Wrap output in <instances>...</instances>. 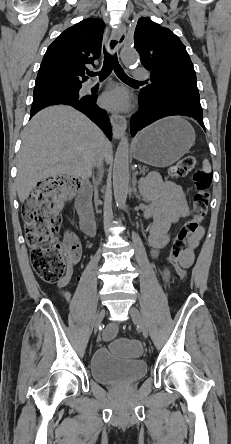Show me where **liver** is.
<instances>
[{"label":"liver","instance_id":"obj_1","mask_svg":"<svg viewBox=\"0 0 231 444\" xmlns=\"http://www.w3.org/2000/svg\"><path fill=\"white\" fill-rule=\"evenodd\" d=\"M16 188L24 202L36 184L53 176L88 179L102 155L112 158V145L103 146L101 130L70 106L56 105L38 112L21 134Z\"/></svg>","mask_w":231,"mask_h":444}]
</instances>
